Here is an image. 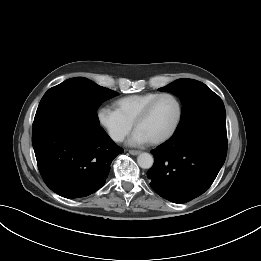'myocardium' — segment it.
Listing matches in <instances>:
<instances>
[{
	"label": "myocardium",
	"mask_w": 261,
	"mask_h": 261,
	"mask_svg": "<svg viewBox=\"0 0 261 261\" xmlns=\"http://www.w3.org/2000/svg\"><path fill=\"white\" fill-rule=\"evenodd\" d=\"M164 97H169L171 99H173L177 105V115L175 118V121L172 125V127L170 128V130L164 134L163 136L156 138L154 140H151L150 143L153 145H159L162 144L166 141H168L169 139H171L174 134L176 133L181 119H182V104L180 102V100L172 93H159L156 97H154L142 110L141 112L138 114V116L136 117L133 126L136 129V127L142 122L144 121L150 114V112L152 111L154 105L161 99Z\"/></svg>",
	"instance_id": "myocardium-1"
}]
</instances>
